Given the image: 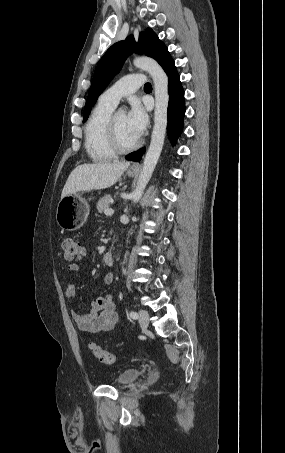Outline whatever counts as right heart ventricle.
I'll return each mask as SVG.
<instances>
[{
  "label": "right heart ventricle",
  "mask_w": 285,
  "mask_h": 453,
  "mask_svg": "<svg viewBox=\"0 0 285 453\" xmlns=\"http://www.w3.org/2000/svg\"><path fill=\"white\" fill-rule=\"evenodd\" d=\"M115 106L102 99L92 110L85 126V149L91 160L105 162L115 156L107 138V124Z\"/></svg>",
  "instance_id": "right-heart-ventricle-1"
}]
</instances>
